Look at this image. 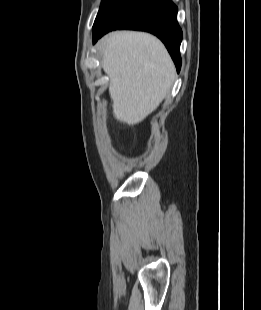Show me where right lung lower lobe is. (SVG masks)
Here are the masks:
<instances>
[{"instance_id": "1", "label": "right lung lower lobe", "mask_w": 261, "mask_h": 310, "mask_svg": "<svg viewBox=\"0 0 261 310\" xmlns=\"http://www.w3.org/2000/svg\"><path fill=\"white\" fill-rule=\"evenodd\" d=\"M115 29L150 32L165 44L177 71L181 67L182 30L177 22V7L171 0H129L104 25L93 29V40Z\"/></svg>"}]
</instances>
